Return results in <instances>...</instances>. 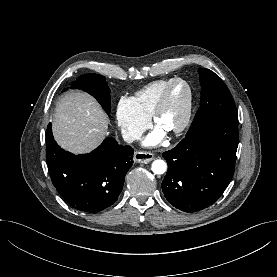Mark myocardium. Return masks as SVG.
Returning <instances> with one entry per match:
<instances>
[{
	"mask_svg": "<svg viewBox=\"0 0 277 277\" xmlns=\"http://www.w3.org/2000/svg\"><path fill=\"white\" fill-rule=\"evenodd\" d=\"M179 83L183 84L186 87L187 97H186V102L183 109L182 119L179 125L169 132L170 135H178L182 133L190 123L191 115H192V105H193V92L190 84L182 78L172 79L162 90L158 98V101L153 109V112L151 114V121L155 126H157L158 119L166 106L171 89L176 84H179Z\"/></svg>",
	"mask_w": 277,
	"mask_h": 277,
	"instance_id": "f54148a6",
	"label": "myocardium"
}]
</instances>
